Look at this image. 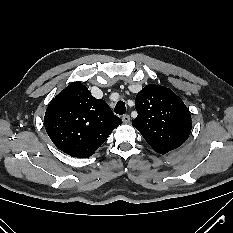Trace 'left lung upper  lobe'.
<instances>
[{"instance_id": "1", "label": "left lung upper lobe", "mask_w": 233, "mask_h": 233, "mask_svg": "<svg viewBox=\"0 0 233 233\" xmlns=\"http://www.w3.org/2000/svg\"><path fill=\"white\" fill-rule=\"evenodd\" d=\"M137 118L132 125L159 154L181 146L191 132V115L183 101L169 88L145 86L136 96Z\"/></svg>"}]
</instances>
